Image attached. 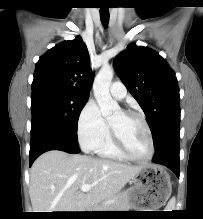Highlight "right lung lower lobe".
Masks as SVG:
<instances>
[{
  "mask_svg": "<svg viewBox=\"0 0 203 219\" xmlns=\"http://www.w3.org/2000/svg\"><path fill=\"white\" fill-rule=\"evenodd\" d=\"M49 150H62L73 154L79 152L77 145H73L70 141L52 133L40 131L31 135L30 166L39 155Z\"/></svg>",
  "mask_w": 203,
  "mask_h": 219,
  "instance_id": "obj_1",
  "label": "right lung lower lobe"
}]
</instances>
